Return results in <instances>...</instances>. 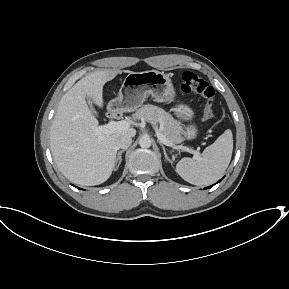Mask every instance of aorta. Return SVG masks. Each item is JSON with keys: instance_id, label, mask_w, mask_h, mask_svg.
Masks as SVG:
<instances>
[{"instance_id": "762f6f07", "label": "aorta", "mask_w": 289, "mask_h": 289, "mask_svg": "<svg viewBox=\"0 0 289 289\" xmlns=\"http://www.w3.org/2000/svg\"><path fill=\"white\" fill-rule=\"evenodd\" d=\"M152 144L151 139L148 136H143L142 138H140L139 140V145L142 148H149Z\"/></svg>"}]
</instances>
